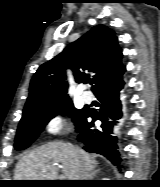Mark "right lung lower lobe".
I'll use <instances>...</instances> for the list:
<instances>
[{"instance_id": "obj_1", "label": "right lung lower lobe", "mask_w": 160, "mask_h": 187, "mask_svg": "<svg viewBox=\"0 0 160 187\" xmlns=\"http://www.w3.org/2000/svg\"><path fill=\"white\" fill-rule=\"evenodd\" d=\"M123 67L114 77L103 81L94 94L101 105L98 110L85 108V113L76 125V132H79L78 141L83 143V149L91 153H98L108 158L114 165L121 167L120 155L117 150L116 136H113V126L120 119L121 102L119 92L124 86L122 75ZM91 117L92 122L87 118ZM100 120V127L94 128V121ZM85 186V185H81Z\"/></svg>"}]
</instances>
